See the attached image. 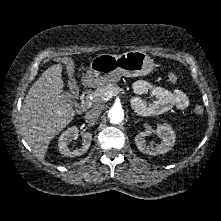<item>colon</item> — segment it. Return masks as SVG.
I'll list each match as a JSON object with an SVG mask.
<instances>
[{
  "label": "colon",
  "instance_id": "colon-1",
  "mask_svg": "<svg viewBox=\"0 0 221 221\" xmlns=\"http://www.w3.org/2000/svg\"><path fill=\"white\" fill-rule=\"evenodd\" d=\"M168 79H169L170 82H173V83H174V82L177 81L178 77H177L176 74L171 73V74H169ZM71 92H72L73 96H76V95H77V92H78V91H77L76 86L72 85V87H71ZM203 112H204V109H203L202 106L196 105V106L194 107V113H195L196 115H202Z\"/></svg>",
  "mask_w": 221,
  "mask_h": 221
}]
</instances>
